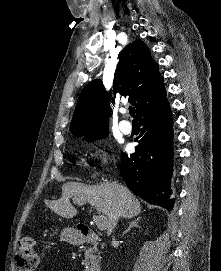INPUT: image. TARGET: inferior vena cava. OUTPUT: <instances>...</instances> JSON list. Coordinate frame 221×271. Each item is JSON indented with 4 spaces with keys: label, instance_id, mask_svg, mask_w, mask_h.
Wrapping results in <instances>:
<instances>
[{
    "label": "inferior vena cava",
    "instance_id": "1",
    "mask_svg": "<svg viewBox=\"0 0 221 271\" xmlns=\"http://www.w3.org/2000/svg\"><path fill=\"white\" fill-rule=\"evenodd\" d=\"M117 223H118V219H116V221L114 223V227H116ZM112 239H115V235H112Z\"/></svg>",
    "mask_w": 221,
    "mask_h": 271
}]
</instances>
